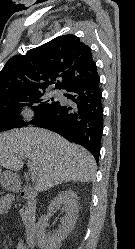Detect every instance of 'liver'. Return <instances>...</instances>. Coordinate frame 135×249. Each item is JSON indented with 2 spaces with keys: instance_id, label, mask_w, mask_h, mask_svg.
Here are the masks:
<instances>
[{
  "instance_id": "6515ba94",
  "label": "liver",
  "mask_w": 135,
  "mask_h": 249,
  "mask_svg": "<svg viewBox=\"0 0 135 249\" xmlns=\"http://www.w3.org/2000/svg\"><path fill=\"white\" fill-rule=\"evenodd\" d=\"M23 158L38 167L35 188L39 192L64 182H91L95 178L92 154L45 129L26 127L0 134V166L19 171Z\"/></svg>"
}]
</instances>
